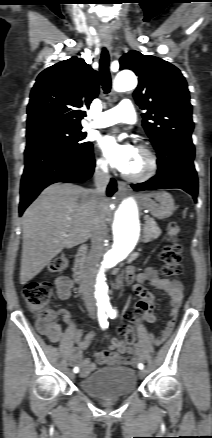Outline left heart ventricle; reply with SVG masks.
Returning <instances> with one entry per match:
<instances>
[{"mask_svg":"<svg viewBox=\"0 0 212 438\" xmlns=\"http://www.w3.org/2000/svg\"><path fill=\"white\" fill-rule=\"evenodd\" d=\"M146 167H147L146 157L143 154L137 152V155L134 161L132 162L131 166L127 170V172L132 174H140L145 171Z\"/></svg>","mask_w":212,"mask_h":438,"instance_id":"1","label":"left heart ventricle"}]
</instances>
